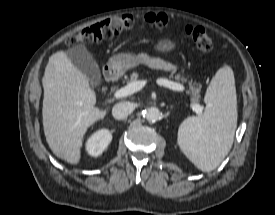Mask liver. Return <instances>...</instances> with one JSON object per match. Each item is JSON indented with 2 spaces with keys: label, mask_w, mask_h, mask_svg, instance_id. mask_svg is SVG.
Wrapping results in <instances>:
<instances>
[{
  "label": "liver",
  "mask_w": 275,
  "mask_h": 215,
  "mask_svg": "<svg viewBox=\"0 0 275 215\" xmlns=\"http://www.w3.org/2000/svg\"><path fill=\"white\" fill-rule=\"evenodd\" d=\"M42 82L46 141L55 156L78 164L87 128L103 119L106 110L95 107L96 94L89 79L64 51L50 57Z\"/></svg>",
  "instance_id": "obj_1"
}]
</instances>
